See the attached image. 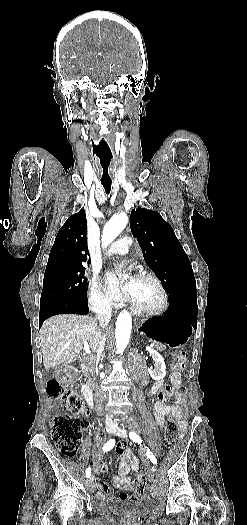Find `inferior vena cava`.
I'll list each match as a JSON object with an SVG mask.
<instances>
[{
  "label": "inferior vena cava",
  "instance_id": "inferior-vena-cava-1",
  "mask_svg": "<svg viewBox=\"0 0 247 525\" xmlns=\"http://www.w3.org/2000/svg\"><path fill=\"white\" fill-rule=\"evenodd\" d=\"M112 305L111 303H106V301H97L94 305V313H96V319L100 325V329H105L106 325L110 323L112 317ZM97 349H96V363L98 365L103 357V351L105 347V337L103 333H100L97 337Z\"/></svg>",
  "mask_w": 247,
  "mask_h": 525
}]
</instances>
